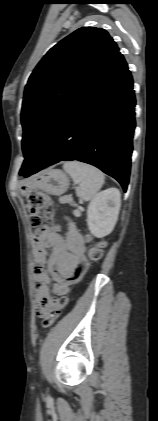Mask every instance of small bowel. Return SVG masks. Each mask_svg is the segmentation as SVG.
Wrapping results in <instances>:
<instances>
[{
    "label": "small bowel",
    "mask_w": 158,
    "mask_h": 421,
    "mask_svg": "<svg viewBox=\"0 0 158 421\" xmlns=\"http://www.w3.org/2000/svg\"><path fill=\"white\" fill-rule=\"evenodd\" d=\"M67 222L65 237L43 227L35 238L34 275L37 308L40 313L54 307L57 297L67 295L70 285L83 276L89 265L83 235L74 222ZM51 278L54 280L52 287Z\"/></svg>",
    "instance_id": "small-bowel-1"
}]
</instances>
